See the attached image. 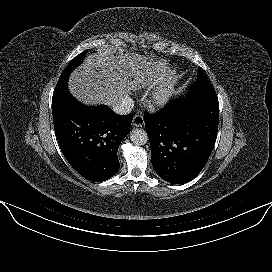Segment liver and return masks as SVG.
<instances>
[{
    "mask_svg": "<svg viewBox=\"0 0 272 272\" xmlns=\"http://www.w3.org/2000/svg\"><path fill=\"white\" fill-rule=\"evenodd\" d=\"M148 57L122 48L103 47L71 73L70 93L85 105L112 106L147 84Z\"/></svg>",
    "mask_w": 272,
    "mask_h": 272,
    "instance_id": "1",
    "label": "liver"
}]
</instances>
